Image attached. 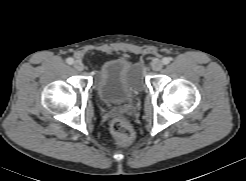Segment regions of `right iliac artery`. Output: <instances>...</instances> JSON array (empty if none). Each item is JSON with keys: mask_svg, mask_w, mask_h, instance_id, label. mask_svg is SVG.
Masks as SVG:
<instances>
[{"mask_svg": "<svg viewBox=\"0 0 246 181\" xmlns=\"http://www.w3.org/2000/svg\"><path fill=\"white\" fill-rule=\"evenodd\" d=\"M66 62L70 65H72L74 63V59L73 58H67Z\"/></svg>", "mask_w": 246, "mask_h": 181, "instance_id": "right-iliac-artery-1", "label": "right iliac artery"}]
</instances>
